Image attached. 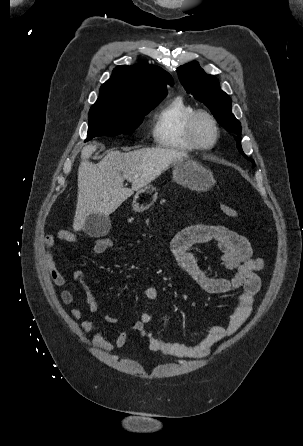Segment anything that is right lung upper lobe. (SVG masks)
Here are the masks:
<instances>
[{
	"label": "right lung upper lobe",
	"mask_w": 303,
	"mask_h": 446,
	"mask_svg": "<svg viewBox=\"0 0 303 446\" xmlns=\"http://www.w3.org/2000/svg\"><path fill=\"white\" fill-rule=\"evenodd\" d=\"M173 85L168 72L154 65L117 66L100 88L92 108L143 109L159 104Z\"/></svg>",
	"instance_id": "1"
}]
</instances>
